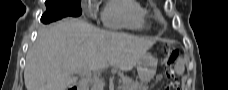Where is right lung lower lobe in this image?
Listing matches in <instances>:
<instances>
[{"mask_svg":"<svg viewBox=\"0 0 228 90\" xmlns=\"http://www.w3.org/2000/svg\"><path fill=\"white\" fill-rule=\"evenodd\" d=\"M65 16L63 15H54L53 12L51 11V9H47V11L43 14L42 18H41V21L43 23H49V22H52V21H56V20H59L61 18H63Z\"/></svg>","mask_w":228,"mask_h":90,"instance_id":"1","label":"right lung lower lobe"}]
</instances>
